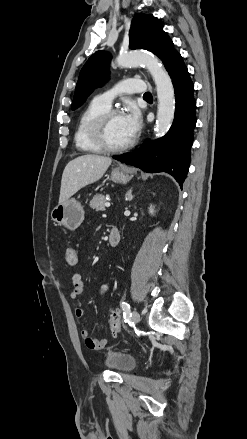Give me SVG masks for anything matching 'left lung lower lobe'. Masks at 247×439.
<instances>
[{"label":"left lung lower lobe","mask_w":247,"mask_h":439,"mask_svg":"<svg viewBox=\"0 0 247 439\" xmlns=\"http://www.w3.org/2000/svg\"><path fill=\"white\" fill-rule=\"evenodd\" d=\"M175 92V117L169 132L155 141L146 140L135 152L114 156L145 172L171 174L182 187L190 164V149L196 125L194 84L181 59L169 73Z\"/></svg>","instance_id":"0a47b994"}]
</instances>
